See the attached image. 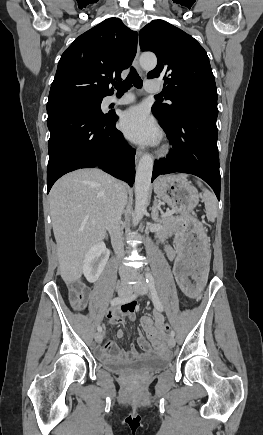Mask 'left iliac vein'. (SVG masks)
Returning <instances> with one entry per match:
<instances>
[{
	"instance_id": "obj_1",
	"label": "left iliac vein",
	"mask_w": 263,
	"mask_h": 435,
	"mask_svg": "<svg viewBox=\"0 0 263 435\" xmlns=\"http://www.w3.org/2000/svg\"><path fill=\"white\" fill-rule=\"evenodd\" d=\"M141 284H139L138 286H136L134 288V292L139 294V295H145L148 292V285L147 283L144 281V279L141 277ZM175 339L174 337H170L168 340V346L173 348L175 346Z\"/></svg>"
}]
</instances>
